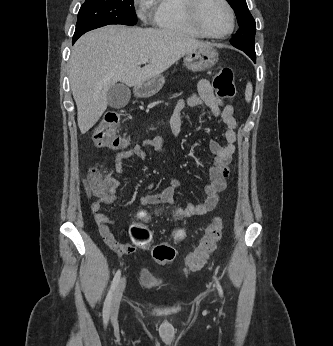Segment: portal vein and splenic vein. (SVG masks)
<instances>
[{"label": "portal vein and splenic vein", "mask_w": 333, "mask_h": 346, "mask_svg": "<svg viewBox=\"0 0 333 346\" xmlns=\"http://www.w3.org/2000/svg\"><path fill=\"white\" fill-rule=\"evenodd\" d=\"M148 62V59H142L141 61H140V64H145V63H147Z\"/></svg>", "instance_id": "18ae733b"}]
</instances>
